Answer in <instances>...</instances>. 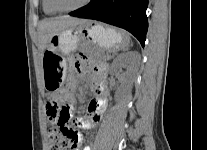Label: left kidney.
Returning a JSON list of instances; mask_svg holds the SVG:
<instances>
[{"instance_id":"left-kidney-1","label":"left kidney","mask_w":207,"mask_h":150,"mask_svg":"<svg viewBox=\"0 0 207 150\" xmlns=\"http://www.w3.org/2000/svg\"><path fill=\"white\" fill-rule=\"evenodd\" d=\"M140 62V55L138 52H130L127 54L119 55L111 65V72L115 75L119 74V69L127 66V72L122 74L123 87L120 91L117 92L116 97L127 92L133 82V78L138 70Z\"/></svg>"}]
</instances>
